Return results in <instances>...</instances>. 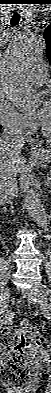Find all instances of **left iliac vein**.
Segmentation results:
<instances>
[{
	"label": "left iliac vein",
	"mask_w": 51,
	"mask_h": 393,
	"mask_svg": "<svg viewBox=\"0 0 51 393\" xmlns=\"http://www.w3.org/2000/svg\"><path fill=\"white\" fill-rule=\"evenodd\" d=\"M46 292H47V290L44 287L42 288L41 286H37L35 289H33L34 295H36L38 297H42V300L38 302L40 308L43 311L50 312L51 311V303L49 300H47L45 298Z\"/></svg>",
	"instance_id": "4c4485c4"
}]
</instances>
